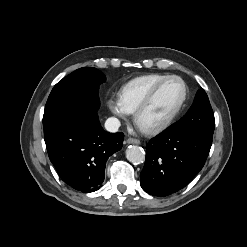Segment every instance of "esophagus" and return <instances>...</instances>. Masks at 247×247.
Masks as SVG:
<instances>
[{
  "instance_id": "esophagus-1",
  "label": "esophagus",
  "mask_w": 247,
  "mask_h": 247,
  "mask_svg": "<svg viewBox=\"0 0 247 247\" xmlns=\"http://www.w3.org/2000/svg\"><path fill=\"white\" fill-rule=\"evenodd\" d=\"M127 143L128 144H140V140H138V139H135V138H128L127 139Z\"/></svg>"
}]
</instances>
